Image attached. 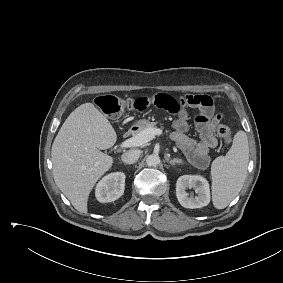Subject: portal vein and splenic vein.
Wrapping results in <instances>:
<instances>
[{"label":"portal vein and splenic vein","mask_w":283,"mask_h":283,"mask_svg":"<svg viewBox=\"0 0 283 283\" xmlns=\"http://www.w3.org/2000/svg\"><path fill=\"white\" fill-rule=\"evenodd\" d=\"M162 130L159 128H147L141 133L126 139L120 144V148H131L141 146L150 140H152L156 135H161Z\"/></svg>","instance_id":"portal-vein-and-splenic-vein-1"}]
</instances>
